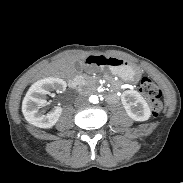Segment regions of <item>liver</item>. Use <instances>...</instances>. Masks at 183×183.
Masks as SVG:
<instances>
[{"instance_id":"obj_1","label":"liver","mask_w":183,"mask_h":183,"mask_svg":"<svg viewBox=\"0 0 183 183\" xmlns=\"http://www.w3.org/2000/svg\"><path fill=\"white\" fill-rule=\"evenodd\" d=\"M75 58H69L62 60L54 64L52 68V74L56 77L69 78L75 73Z\"/></svg>"}]
</instances>
